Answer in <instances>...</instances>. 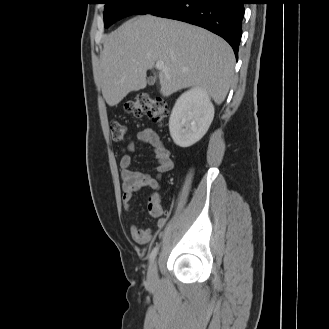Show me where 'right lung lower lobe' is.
Returning a JSON list of instances; mask_svg holds the SVG:
<instances>
[{
  "label": "right lung lower lobe",
  "mask_w": 329,
  "mask_h": 329,
  "mask_svg": "<svg viewBox=\"0 0 329 329\" xmlns=\"http://www.w3.org/2000/svg\"><path fill=\"white\" fill-rule=\"evenodd\" d=\"M243 0H172L152 15L203 27L224 38L237 57L244 17Z\"/></svg>",
  "instance_id": "1"
}]
</instances>
